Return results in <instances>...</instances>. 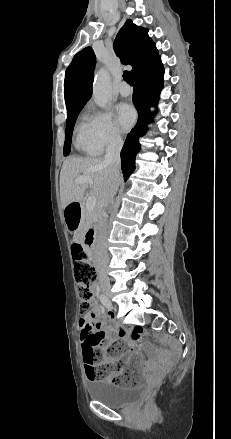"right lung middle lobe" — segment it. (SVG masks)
I'll return each mask as SVG.
<instances>
[{
    "mask_svg": "<svg viewBox=\"0 0 231 439\" xmlns=\"http://www.w3.org/2000/svg\"><path fill=\"white\" fill-rule=\"evenodd\" d=\"M84 105L67 110L66 137L64 143V156H68L71 148L72 131L76 118Z\"/></svg>",
    "mask_w": 231,
    "mask_h": 439,
    "instance_id": "right-lung-middle-lobe-1",
    "label": "right lung middle lobe"
}]
</instances>
